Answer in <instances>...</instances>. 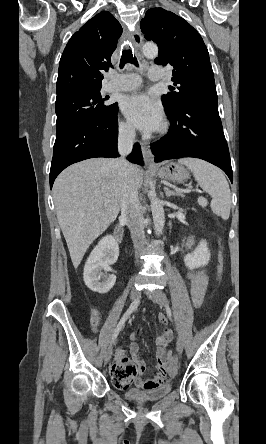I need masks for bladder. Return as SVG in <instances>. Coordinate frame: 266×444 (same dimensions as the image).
Segmentation results:
<instances>
[{"label": "bladder", "mask_w": 266, "mask_h": 444, "mask_svg": "<svg viewBox=\"0 0 266 444\" xmlns=\"http://www.w3.org/2000/svg\"><path fill=\"white\" fill-rule=\"evenodd\" d=\"M172 390V385L167 383L153 389L139 390L135 388L126 389L124 396L134 401H157L165 397Z\"/></svg>", "instance_id": "bladder-1"}]
</instances>
